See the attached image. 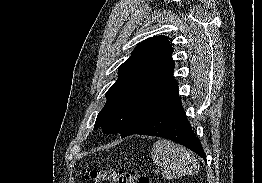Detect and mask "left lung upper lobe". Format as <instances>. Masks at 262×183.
I'll return each mask as SVG.
<instances>
[{
    "label": "left lung upper lobe",
    "instance_id": "obj_1",
    "mask_svg": "<svg viewBox=\"0 0 262 183\" xmlns=\"http://www.w3.org/2000/svg\"><path fill=\"white\" fill-rule=\"evenodd\" d=\"M168 37L154 36L138 44L119 67L117 81L107 91V102L94 129L122 138L139 131L157 108L178 90Z\"/></svg>",
    "mask_w": 262,
    "mask_h": 183
}]
</instances>
